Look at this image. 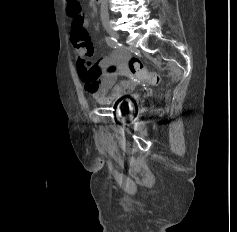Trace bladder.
<instances>
[{"label": "bladder", "instance_id": "31cf9c89", "mask_svg": "<svg viewBox=\"0 0 237 232\" xmlns=\"http://www.w3.org/2000/svg\"><path fill=\"white\" fill-rule=\"evenodd\" d=\"M117 106L122 110V111H132L134 109V101L133 100H128L124 99L121 100L117 103Z\"/></svg>", "mask_w": 237, "mask_h": 232}]
</instances>
